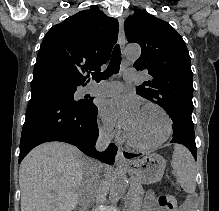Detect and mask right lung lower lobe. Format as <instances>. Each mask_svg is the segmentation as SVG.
<instances>
[{"instance_id": "1", "label": "right lung lower lobe", "mask_w": 219, "mask_h": 211, "mask_svg": "<svg viewBox=\"0 0 219 211\" xmlns=\"http://www.w3.org/2000/svg\"><path fill=\"white\" fill-rule=\"evenodd\" d=\"M85 101L76 103L57 87L32 88L21 134L19 163L37 145L62 141L88 156L113 164L117 147L110 144L105 152L96 151L97 107L92 100Z\"/></svg>"}]
</instances>
